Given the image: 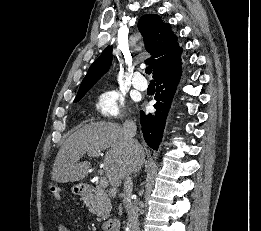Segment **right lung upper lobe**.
Returning <instances> with one entry per match:
<instances>
[{
    "label": "right lung upper lobe",
    "instance_id": "right-lung-upper-lobe-1",
    "mask_svg": "<svg viewBox=\"0 0 261 231\" xmlns=\"http://www.w3.org/2000/svg\"><path fill=\"white\" fill-rule=\"evenodd\" d=\"M147 52L151 58L147 60L153 67V77L165 74L181 67L182 48L168 23H164L158 15H144L138 22ZM112 61V47H107L90 66L81 82L78 93L87 92L107 72ZM77 93V94H78Z\"/></svg>",
    "mask_w": 261,
    "mask_h": 231
}]
</instances>
